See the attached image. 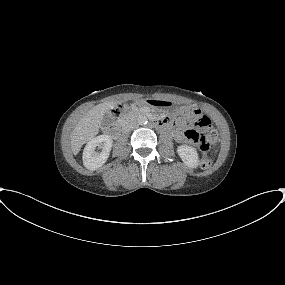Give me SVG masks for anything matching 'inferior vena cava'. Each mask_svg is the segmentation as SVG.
I'll use <instances>...</instances> for the list:
<instances>
[{
    "mask_svg": "<svg viewBox=\"0 0 285 285\" xmlns=\"http://www.w3.org/2000/svg\"><path fill=\"white\" fill-rule=\"evenodd\" d=\"M136 126H137V123H136V122L128 123V124H126V125L123 127L124 132H129V131H131L132 129H134Z\"/></svg>",
    "mask_w": 285,
    "mask_h": 285,
    "instance_id": "1",
    "label": "inferior vena cava"
}]
</instances>
